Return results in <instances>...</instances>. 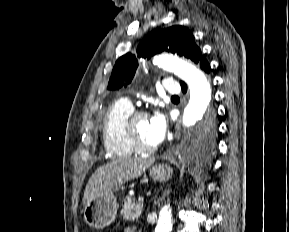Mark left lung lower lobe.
I'll use <instances>...</instances> for the list:
<instances>
[{
	"label": "left lung lower lobe",
	"instance_id": "1",
	"mask_svg": "<svg viewBox=\"0 0 289 232\" xmlns=\"http://www.w3.org/2000/svg\"><path fill=\"white\" fill-rule=\"evenodd\" d=\"M199 66L205 73H207V74L210 73V71H211L210 64L204 56L201 57V59L199 61ZM181 86H182V91L185 93L187 90L186 84L182 82ZM196 138H197V141L199 142L200 140H199L198 134H197Z\"/></svg>",
	"mask_w": 289,
	"mask_h": 232
}]
</instances>
